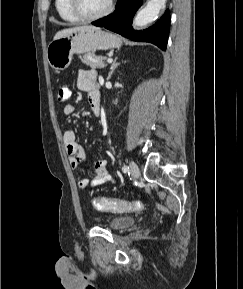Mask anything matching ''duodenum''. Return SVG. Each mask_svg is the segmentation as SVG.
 Listing matches in <instances>:
<instances>
[{"label":"duodenum","mask_w":243,"mask_h":289,"mask_svg":"<svg viewBox=\"0 0 243 289\" xmlns=\"http://www.w3.org/2000/svg\"><path fill=\"white\" fill-rule=\"evenodd\" d=\"M94 95H95V99H96V101H97V103L99 105L100 104V93H99V90H97Z\"/></svg>","instance_id":"1"}]
</instances>
